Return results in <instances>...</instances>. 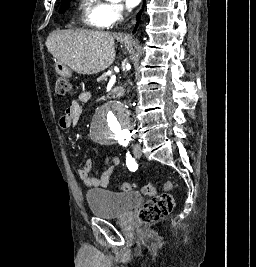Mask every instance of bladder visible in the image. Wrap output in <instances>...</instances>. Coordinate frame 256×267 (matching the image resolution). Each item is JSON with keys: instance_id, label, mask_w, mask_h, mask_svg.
<instances>
[{"instance_id": "31cf9c89", "label": "bladder", "mask_w": 256, "mask_h": 267, "mask_svg": "<svg viewBox=\"0 0 256 267\" xmlns=\"http://www.w3.org/2000/svg\"><path fill=\"white\" fill-rule=\"evenodd\" d=\"M86 198L91 213L103 218L125 217L138 204L143 203L142 195H122L102 189L88 191Z\"/></svg>"}]
</instances>
